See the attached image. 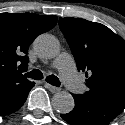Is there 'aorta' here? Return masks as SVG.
Instances as JSON below:
<instances>
[{
	"label": "aorta",
	"instance_id": "aorta-1",
	"mask_svg": "<svg viewBox=\"0 0 125 125\" xmlns=\"http://www.w3.org/2000/svg\"><path fill=\"white\" fill-rule=\"evenodd\" d=\"M34 49L40 57L51 59L59 53L60 47L54 36L41 34L34 41ZM74 105L72 95L66 91L57 92L52 98V106L58 113H69L74 108Z\"/></svg>",
	"mask_w": 125,
	"mask_h": 125
}]
</instances>
